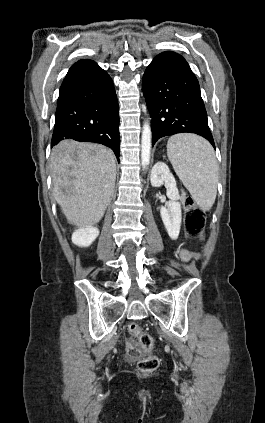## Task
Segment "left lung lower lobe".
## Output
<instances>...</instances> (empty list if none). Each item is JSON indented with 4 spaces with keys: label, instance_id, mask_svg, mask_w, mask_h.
<instances>
[{
    "label": "left lung lower lobe",
    "instance_id": "0a47b994",
    "mask_svg": "<svg viewBox=\"0 0 265 423\" xmlns=\"http://www.w3.org/2000/svg\"><path fill=\"white\" fill-rule=\"evenodd\" d=\"M143 94L151 120L152 144L181 132L206 138L215 148L197 78L186 60L163 52L146 68Z\"/></svg>",
    "mask_w": 265,
    "mask_h": 423
}]
</instances>
